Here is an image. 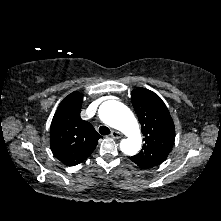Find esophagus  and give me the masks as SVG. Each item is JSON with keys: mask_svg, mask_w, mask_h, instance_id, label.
Here are the masks:
<instances>
[{"mask_svg": "<svg viewBox=\"0 0 221 221\" xmlns=\"http://www.w3.org/2000/svg\"><path fill=\"white\" fill-rule=\"evenodd\" d=\"M110 135L114 139H120L122 137V134L116 130H113Z\"/></svg>", "mask_w": 221, "mask_h": 221, "instance_id": "34e87169", "label": "esophagus"}]
</instances>
